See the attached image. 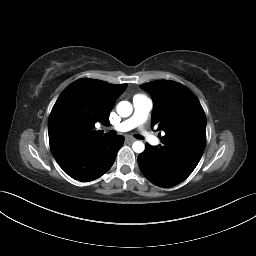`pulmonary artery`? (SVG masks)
<instances>
[{
	"instance_id": "e3ab8cb5",
	"label": "pulmonary artery",
	"mask_w": 256,
	"mask_h": 256,
	"mask_svg": "<svg viewBox=\"0 0 256 256\" xmlns=\"http://www.w3.org/2000/svg\"><path fill=\"white\" fill-rule=\"evenodd\" d=\"M152 107L153 103L151 99L145 96H135L133 98V115L130 118L113 126V129L118 132H127L134 128H139L141 135L147 142L152 145L159 144V139L150 132L146 131L143 127L150 111L152 110Z\"/></svg>"
}]
</instances>
